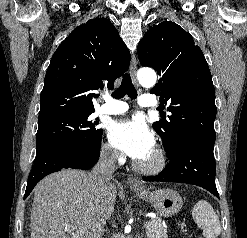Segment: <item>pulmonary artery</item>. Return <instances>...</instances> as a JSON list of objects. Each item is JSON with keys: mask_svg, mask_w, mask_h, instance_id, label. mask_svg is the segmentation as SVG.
Instances as JSON below:
<instances>
[{"mask_svg": "<svg viewBox=\"0 0 247 238\" xmlns=\"http://www.w3.org/2000/svg\"><path fill=\"white\" fill-rule=\"evenodd\" d=\"M138 104L142 107H155L157 105L156 99L152 95L144 94L139 100ZM128 110L127 103L115 100L108 95L104 96V104H102L98 110V114H108V115H117L123 114Z\"/></svg>", "mask_w": 247, "mask_h": 238, "instance_id": "pulmonary-artery-1", "label": "pulmonary artery"}]
</instances>
